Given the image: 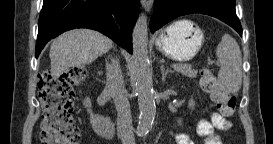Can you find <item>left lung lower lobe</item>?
Returning a JSON list of instances; mask_svg holds the SVG:
<instances>
[{
  "label": "left lung lower lobe",
  "instance_id": "obj_1",
  "mask_svg": "<svg viewBox=\"0 0 273 144\" xmlns=\"http://www.w3.org/2000/svg\"><path fill=\"white\" fill-rule=\"evenodd\" d=\"M191 13L216 17L242 36V27L235 11V0H154L150 30L154 32L176 17Z\"/></svg>",
  "mask_w": 273,
  "mask_h": 144
}]
</instances>
